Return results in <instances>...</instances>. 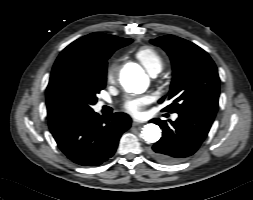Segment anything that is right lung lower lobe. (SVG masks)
I'll return each mask as SVG.
<instances>
[{
  "mask_svg": "<svg viewBox=\"0 0 253 200\" xmlns=\"http://www.w3.org/2000/svg\"><path fill=\"white\" fill-rule=\"evenodd\" d=\"M48 123L58 147L71 161L98 166L113 156L131 118L125 113L105 118L90 111L52 118Z\"/></svg>",
  "mask_w": 253,
  "mask_h": 200,
  "instance_id": "1",
  "label": "right lung lower lobe"
}]
</instances>
